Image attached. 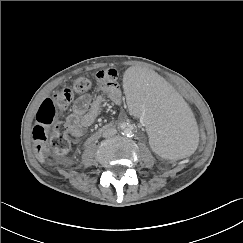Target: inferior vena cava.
<instances>
[{
  "label": "inferior vena cava",
  "instance_id": "inferior-vena-cava-1",
  "mask_svg": "<svg viewBox=\"0 0 243 243\" xmlns=\"http://www.w3.org/2000/svg\"><path fill=\"white\" fill-rule=\"evenodd\" d=\"M117 133L115 128H108L103 132V137H110Z\"/></svg>",
  "mask_w": 243,
  "mask_h": 243
}]
</instances>
